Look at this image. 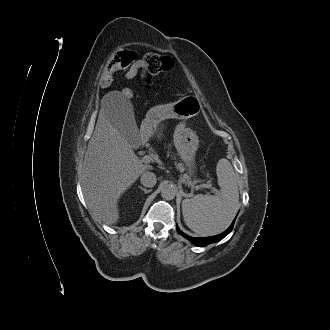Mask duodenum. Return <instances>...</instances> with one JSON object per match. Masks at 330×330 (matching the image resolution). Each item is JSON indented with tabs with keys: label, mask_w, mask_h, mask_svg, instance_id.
Masks as SVG:
<instances>
[{
	"label": "duodenum",
	"mask_w": 330,
	"mask_h": 330,
	"mask_svg": "<svg viewBox=\"0 0 330 330\" xmlns=\"http://www.w3.org/2000/svg\"><path fill=\"white\" fill-rule=\"evenodd\" d=\"M142 141H143V139L140 138V139H139V142H142Z\"/></svg>",
	"instance_id": "410a0bca"
}]
</instances>
